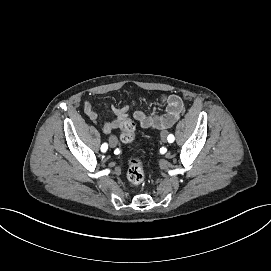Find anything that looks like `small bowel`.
<instances>
[{"mask_svg": "<svg viewBox=\"0 0 271 271\" xmlns=\"http://www.w3.org/2000/svg\"><path fill=\"white\" fill-rule=\"evenodd\" d=\"M158 103L165 107L163 114H158L156 110L151 113L143 111H135L134 118L138 121L139 126L144 129H165L172 126L184 112V104L182 98L177 94L163 93L158 97ZM83 111L85 115L92 121L98 119V113L93 108L90 102L84 101ZM114 119L102 124V130L105 134L117 130L121 122L128 117L129 107H112Z\"/></svg>", "mask_w": 271, "mask_h": 271, "instance_id": "c3829d8e", "label": "small bowel"}]
</instances>
